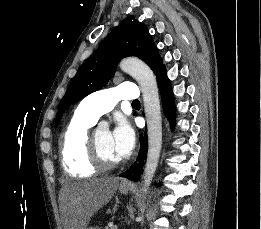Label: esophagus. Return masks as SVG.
Returning a JSON list of instances; mask_svg holds the SVG:
<instances>
[{"label":"esophagus","mask_w":261,"mask_h":229,"mask_svg":"<svg viewBox=\"0 0 261 229\" xmlns=\"http://www.w3.org/2000/svg\"><path fill=\"white\" fill-rule=\"evenodd\" d=\"M121 184H123L124 186H131L132 185V183L129 180H127V179L122 181Z\"/></svg>","instance_id":"obj_1"}]
</instances>
